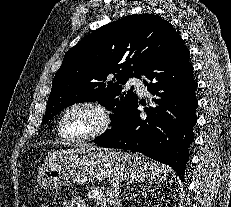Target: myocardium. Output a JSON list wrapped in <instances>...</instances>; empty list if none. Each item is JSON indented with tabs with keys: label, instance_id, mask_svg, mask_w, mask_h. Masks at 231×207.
Masks as SVG:
<instances>
[{
	"label": "myocardium",
	"instance_id": "myocardium-1",
	"mask_svg": "<svg viewBox=\"0 0 231 207\" xmlns=\"http://www.w3.org/2000/svg\"><path fill=\"white\" fill-rule=\"evenodd\" d=\"M77 107H89L95 110L100 118V124L96 130L91 132L90 134L83 136V137H71L67 134L65 129V118L68 113L77 108ZM113 119L111 116L110 111L104 106L102 103L92 100V99H83L73 102L72 104L68 105L61 113L59 118V134L60 136L67 142L80 144L85 143L96 138L103 136L107 133L112 127Z\"/></svg>",
	"mask_w": 231,
	"mask_h": 207
}]
</instances>
